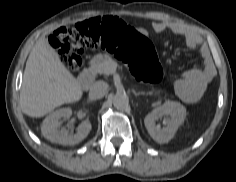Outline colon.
<instances>
[{"instance_id":"5ec220e1","label":"colon","mask_w":236,"mask_h":182,"mask_svg":"<svg viewBox=\"0 0 236 182\" xmlns=\"http://www.w3.org/2000/svg\"><path fill=\"white\" fill-rule=\"evenodd\" d=\"M50 44L72 71L80 68L86 50L101 47L125 61L141 81L156 83L162 77V68L150 40L116 17L60 27L50 36Z\"/></svg>"}]
</instances>
